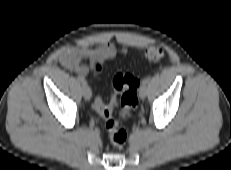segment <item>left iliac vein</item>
<instances>
[{"instance_id": "1", "label": "left iliac vein", "mask_w": 231, "mask_h": 170, "mask_svg": "<svg viewBox=\"0 0 231 170\" xmlns=\"http://www.w3.org/2000/svg\"><path fill=\"white\" fill-rule=\"evenodd\" d=\"M147 95V86L146 84H141L140 89H139V96L141 99H145Z\"/></svg>"}]
</instances>
